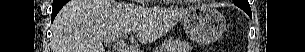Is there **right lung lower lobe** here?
I'll list each match as a JSON object with an SVG mask.
<instances>
[{
    "label": "right lung lower lobe",
    "mask_w": 305,
    "mask_h": 52,
    "mask_svg": "<svg viewBox=\"0 0 305 52\" xmlns=\"http://www.w3.org/2000/svg\"><path fill=\"white\" fill-rule=\"evenodd\" d=\"M68 0H53V11H52V21L54 20L55 16L59 12V10L63 7Z\"/></svg>",
    "instance_id": "right-lung-lower-lobe-1"
}]
</instances>
